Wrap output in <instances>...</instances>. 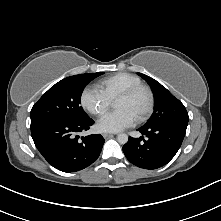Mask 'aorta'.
Listing matches in <instances>:
<instances>
[{
    "label": "aorta",
    "mask_w": 221,
    "mask_h": 221,
    "mask_svg": "<svg viewBox=\"0 0 221 221\" xmlns=\"http://www.w3.org/2000/svg\"><path fill=\"white\" fill-rule=\"evenodd\" d=\"M117 141L120 143V144H126L128 142V136L127 134L125 133H120L118 134L117 136Z\"/></svg>",
    "instance_id": "aorta-1"
}]
</instances>
